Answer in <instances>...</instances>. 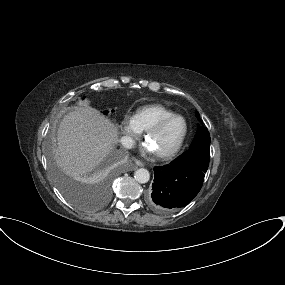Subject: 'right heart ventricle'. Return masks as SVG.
Listing matches in <instances>:
<instances>
[{
  "instance_id": "obj_1",
  "label": "right heart ventricle",
  "mask_w": 285,
  "mask_h": 285,
  "mask_svg": "<svg viewBox=\"0 0 285 285\" xmlns=\"http://www.w3.org/2000/svg\"><path fill=\"white\" fill-rule=\"evenodd\" d=\"M175 114L172 110L160 104L147 105L139 108L134 121L141 132H146L161 119Z\"/></svg>"
}]
</instances>
